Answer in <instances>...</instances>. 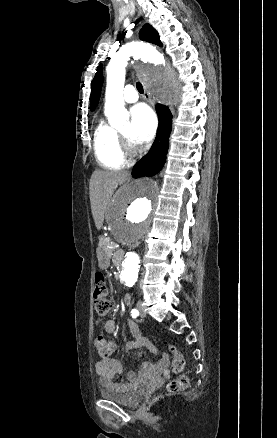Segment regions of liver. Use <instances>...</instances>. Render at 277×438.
Here are the masks:
<instances>
[{
  "label": "liver",
  "instance_id": "1",
  "mask_svg": "<svg viewBox=\"0 0 277 438\" xmlns=\"http://www.w3.org/2000/svg\"><path fill=\"white\" fill-rule=\"evenodd\" d=\"M129 180L126 172H102L95 170L90 180V202L93 220L97 230H101L104 214L109 206L115 188Z\"/></svg>",
  "mask_w": 277,
  "mask_h": 438
}]
</instances>
